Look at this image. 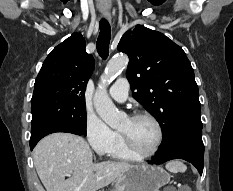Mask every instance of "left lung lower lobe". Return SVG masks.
Returning a JSON list of instances; mask_svg holds the SVG:
<instances>
[{"label":"left lung lower lobe","mask_w":233,"mask_h":191,"mask_svg":"<svg viewBox=\"0 0 233 191\" xmlns=\"http://www.w3.org/2000/svg\"><path fill=\"white\" fill-rule=\"evenodd\" d=\"M178 158L191 162L202 175L204 167L202 128L181 130L169 142L160 146L157 157L149 163L158 165Z\"/></svg>","instance_id":"1"}]
</instances>
